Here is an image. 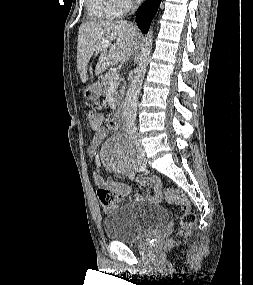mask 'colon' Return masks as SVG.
<instances>
[{"mask_svg": "<svg viewBox=\"0 0 253 285\" xmlns=\"http://www.w3.org/2000/svg\"><path fill=\"white\" fill-rule=\"evenodd\" d=\"M88 120L91 127H98L101 124L100 116L97 113H89ZM98 198L103 205H110L119 198L117 192L108 187H101L97 191ZM166 199L170 204H176L183 210L180 219V233L182 235L190 234L196 226V216L191 211V206L186 196L177 189H169L166 192Z\"/></svg>", "mask_w": 253, "mask_h": 285, "instance_id": "obj_1", "label": "colon"}]
</instances>
